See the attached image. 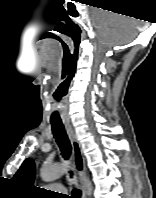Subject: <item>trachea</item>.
<instances>
[{
	"label": "trachea",
	"mask_w": 156,
	"mask_h": 198,
	"mask_svg": "<svg viewBox=\"0 0 156 198\" xmlns=\"http://www.w3.org/2000/svg\"><path fill=\"white\" fill-rule=\"evenodd\" d=\"M52 132L56 142L61 150V154L64 159H68L71 155V145L67 134L65 132L64 126L61 122L51 121ZM71 198H81V192L78 189L72 190Z\"/></svg>",
	"instance_id": "3493384b"
}]
</instances>
